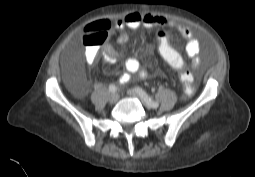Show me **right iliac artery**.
<instances>
[{
	"mask_svg": "<svg viewBox=\"0 0 255 177\" xmlns=\"http://www.w3.org/2000/svg\"><path fill=\"white\" fill-rule=\"evenodd\" d=\"M109 91H110L111 93H115V92L117 91L116 86L113 85V84H111V85L109 86Z\"/></svg>",
	"mask_w": 255,
	"mask_h": 177,
	"instance_id": "1",
	"label": "right iliac artery"
}]
</instances>
